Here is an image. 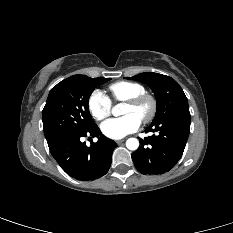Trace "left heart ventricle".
Wrapping results in <instances>:
<instances>
[{
    "label": "left heart ventricle",
    "instance_id": "b2bd125f",
    "mask_svg": "<svg viewBox=\"0 0 233 233\" xmlns=\"http://www.w3.org/2000/svg\"><path fill=\"white\" fill-rule=\"evenodd\" d=\"M149 110H150V105L148 103H143L138 107H131L125 104L122 110V114L123 115L133 114L141 120L145 115L148 114Z\"/></svg>",
    "mask_w": 233,
    "mask_h": 233
}]
</instances>
